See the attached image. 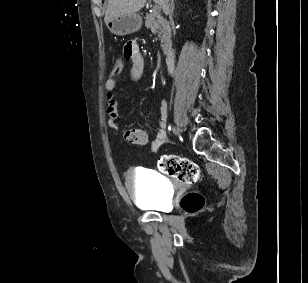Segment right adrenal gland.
I'll list each match as a JSON object with an SVG mask.
<instances>
[{"label":"right adrenal gland","instance_id":"1","mask_svg":"<svg viewBox=\"0 0 308 283\" xmlns=\"http://www.w3.org/2000/svg\"><path fill=\"white\" fill-rule=\"evenodd\" d=\"M174 1L175 0H171V8H172V10H174Z\"/></svg>","mask_w":308,"mask_h":283}]
</instances>
